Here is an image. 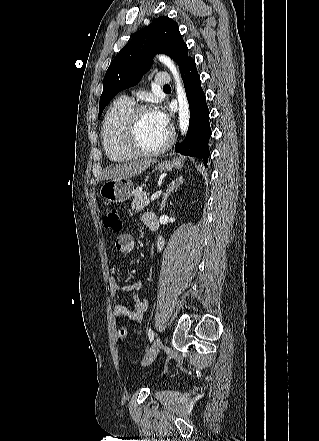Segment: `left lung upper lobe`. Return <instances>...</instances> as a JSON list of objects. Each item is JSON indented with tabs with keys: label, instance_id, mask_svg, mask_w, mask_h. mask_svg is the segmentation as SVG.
Returning <instances> with one entry per match:
<instances>
[{
	"label": "left lung upper lobe",
	"instance_id": "5c2ea615",
	"mask_svg": "<svg viewBox=\"0 0 319 441\" xmlns=\"http://www.w3.org/2000/svg\"><path fill=\"white\" fill-rule=\"evenodd\" d=\"M157 53L170 56L178 64L179 70L191 59L178 24L168 16L158 17L138 31L115 56L103 80L99 117L118 92L135 85L141 79Z\"/></svg>",
	"mask_w": 319,
	"mask_h": 441
}]
</instances>
